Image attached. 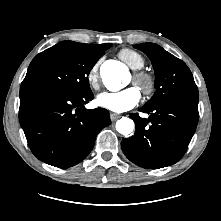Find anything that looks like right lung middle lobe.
Wrapping results in <instances>:
<instances>
[{"mask_svg":"<svg viewBox=\"0 0 221 221\" xmlns=\"http://www.w3.org/2000/svg\"><path fill=\"white\" fill-rule=\"evenodd\" d=\"M111 45L60 42L35 56L21 87H54L74 95L91 92L88 75Z\"/></svg>","mask_w":221,"mask_h":221,"instance_id":"right-lung-middle-lobe-1","label":"right lung middle lobe"}]
</instances>
